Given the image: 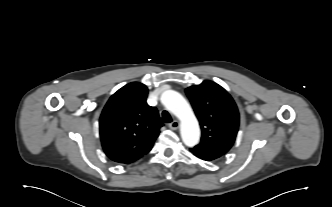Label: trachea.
Masks as SVG:
<instances>
[{
    "instance_id": "3493384b",
    "label": "trachea",
    "mask_w": 332,
    "mask_h": 207,
    "mask_svg": "<svg viewBox=\"0 0 332 207\" xmlns=\"http://www.w3.org/2000/svg\"><path fill=\"white\" fill-rule=\"evenodd\" d=\"M162 120L165 123H170V122H172V117L167 111H163L162 112Z\"/></svg>"
}]
</instances>
